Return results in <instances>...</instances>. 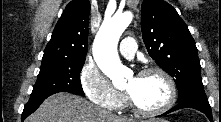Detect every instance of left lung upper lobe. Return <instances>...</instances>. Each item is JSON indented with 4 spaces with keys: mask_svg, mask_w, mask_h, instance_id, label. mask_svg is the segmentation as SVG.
Returning a JSON list of instances; mask_svg holds the SVG:
<instances>
[{
    "mask_svg": "<svg viewBox=\"0 0 221 122\" xmlns=\"http://www.w3.org/2000/svg\"><path fill=\"white\" fill-rule=\"evenodd\" d=\"M141 29L149 55L173 77L178 102L206 97L194 39L175 8L163 0H144Z\"/></svg>",
    "mask_w": 221,
    "mask_h": 122,
    "instance_id": "1",
    "label": "left lung upper lobe"
}]
</instances>
